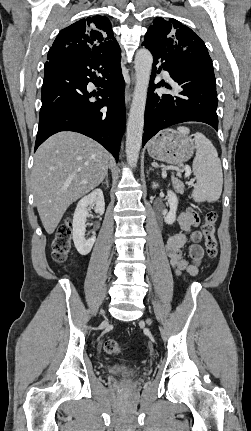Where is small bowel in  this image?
I'll return each instance as SVG.
<instances>
[{
  "mask_svg": "<svg viewBox=\"0 0 251 431\" xmlns=\"http://www.w3.org/2000/svg\"><path fill=\"white\" fill-rule=\"evenodd\" d=\"M199 222L196 211L188 208L178 216L180 231L170 235L166 241L165 251L170 259V264L177 275L186 274L195 276L198 274L199 265L203 259V248L200 242L203 234L199 230H192ZM188 240L191 244L188 248L190 262L183 257V248Z\"/></svg>",
  "mask_w": 251,
  "mask_h": 431,
  "instance_id": "obj_1",
  "label": "small bowel"
}]
</instances>
